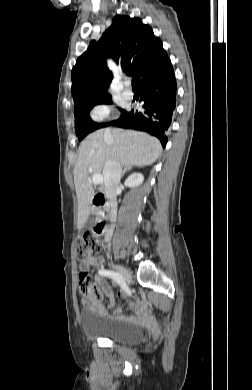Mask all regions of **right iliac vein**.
I'll list each match as a JSON object with an SVG mask.
<instances>
[{"label": "right iliac vein", "mask_w": 252, "mask_h": 390, "mask_svg": "<svg viewBox=\"0 0 252 390\" xmlns=\"http://www.w3.org/2000/svg\"><path fill=\"white\" fill-rule=\"evenodd\" d=\"M113 266L119 273L122 274V276L125 277V280L127 283H130L132 281V275L130 274V272L126 268H124L121 265H113Z\"/></svg>", "instance_id": "right-iliac-vein-1"}]
</instances>
